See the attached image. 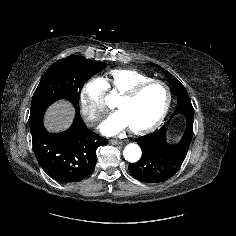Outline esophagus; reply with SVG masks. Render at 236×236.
Listing matches in <instances>:
<instances>
[{
    "label": "esophagus",
    "mask_w": 236,
    "mask_h": 236,
    "mask_svg": "<svg viewBox=\"0 0 236 236\" xmlns=\"http://www.w3.org/2000/svg\"><path fill=\"white\" fill-rule=\"evenodd\" d=\"M109 143L112 145H118V144H121L122 142L119 140L111 139V140H109Z\"/></svg>",
    "instance_id": "1"
}]
</instances>
